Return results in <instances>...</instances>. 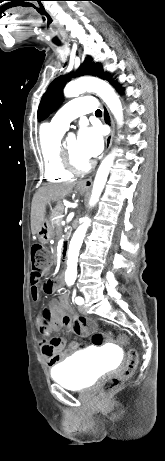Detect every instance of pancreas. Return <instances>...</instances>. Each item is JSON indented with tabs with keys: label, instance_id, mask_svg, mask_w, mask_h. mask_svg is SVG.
<instances>
[{
	"label": "pancreas",
	"instance_id": "pancreas-1",
	"mask_svg": "<svg viewBox=\"0 0 165 461\" xmlns=\"http://www.w3.org/2000/svg\"><path fill=\"white\" fill-rule=\"evenodd\" d=\"M64 213V206L62 204H58L51 213L50 216V223L53 228H56V233H61V221L62 218L58 216H61Z\"/></svg>",
	"mask_w": 165,
	"mask_h": 461
}]
</instances>
